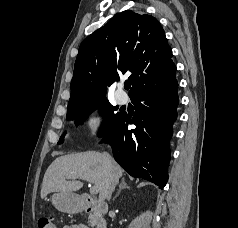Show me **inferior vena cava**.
Wrapping results in <instances>:
<instances>
[{
	"mask_svg": "<svg viewBox=\"0 0 238 228\" xmlns=\"http://www.w3.org/2000/svg\"><path fill=\"white\" fill-rule=\"evenodd\" d=\"M104 157L106 159V162H107L108 166L111 167L112 166V161H113L111 156L108 153H104ZM116 182H117L116 177L114 176V174H112L111 175V180H110V183L107 187V192H106L107 200H110L112 192L115 189Z\"/></svg>",
	"mask_w": 238,
	"mask_h": 228,
	"instance_id": "1",
	"label": "inferior vena cava"
}]
</instances>
